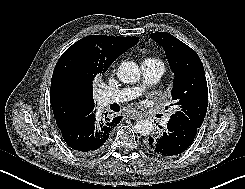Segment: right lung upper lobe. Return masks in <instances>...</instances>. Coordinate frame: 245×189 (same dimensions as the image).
<instances>
[{"label":"right lung upper lobe","mask_w":245,"mask_h":189,"mask_svg":"<svg viewBox=\"0 0 245 189\" xmlns=\"http://www.w3.org/2000/svg\"><path fill=\"white\" fill-rule=\"evenodd\" d=\"M138 41L135 36L89 35L62 54L55 66L50 89L58 127L94 109L93 80Z\"/></svg>","instance_id":"obj_1"}]
</instances>
